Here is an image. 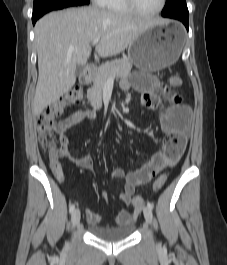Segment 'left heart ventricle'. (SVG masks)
Here are the masks:
<instances>
[{"mask_svg": "<svg viewBox=\"0 0 227 265\" xmlns=\"http://www.w3.org/2000/svg\"><path fill=\"white\" fill-rule=\"evenodd\" d=\"M138 8L144 12H152L156 10L160 4L161 0H135Z\"/></svg>", "mask_w": 227, "mask_h": 265, "instance_id": "obj_1", "label": "left heart ventricle"}]
</instances>
